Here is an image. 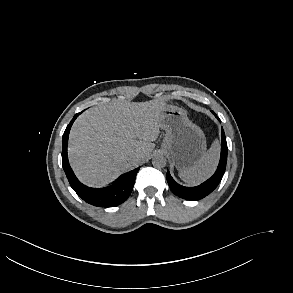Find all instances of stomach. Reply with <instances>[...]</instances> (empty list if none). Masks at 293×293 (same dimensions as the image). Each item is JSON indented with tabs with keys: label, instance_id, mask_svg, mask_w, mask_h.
Here are the masks:
<instances>
[{
	"label": "stomach",
	"instance_id": "obj_1",
	"mask_svg": "<svg viewBox=\"0 0 293 293\" xmlns=\"http://www.w3.org/2000/svg\"><path fill=\"white\" fill-rule=\"evenodd\" d=\"M159 125L166 131L162 147L178 170L193 166L206 153L205 135L188 119L184 109L166 106L160 114Z\"/></svg>",
	"mask_w": 293,
	"mask_h": 293
}]
</instances>
